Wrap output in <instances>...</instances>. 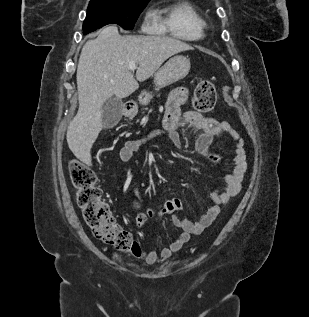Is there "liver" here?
Wrapping results in <instances>:
<instances>
[{
  "mask_svg": "<svg viewBox=\"0 0 309 317\" xmlns=\"http://www.w3.org/2000/svg\"><path fill=\"white\" fill-rule=\"evenodd\" d=\"M183 41L164 36L120 35L116 26L101 30L82 48L77 67L79 109L67 128V143L80 161L91 165V148L103 127L102 108L115 95L122 99L150 78L164 61L192 50ZM137 65L136 79L129 69Z\"/></svg>",
  "mask_w": 309,
  "mask_h": 317,
  "instance_id": "liver-1",
  "label": "liver"
}]
</instances>
